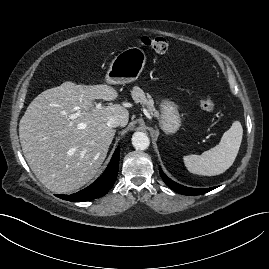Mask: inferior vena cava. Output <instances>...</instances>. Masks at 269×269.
Returning a JSON list of instances; mask_svg holds the SVG:
<instances>
[{"label": "inferior vena cava", "mask_w": 269, "mask_h": 269, "mask_svg": "<svg viewBox=\"0 0 269 269\" xmlns=\"http://www.w3.org/2000/svg\"><path fill=\"white\" fill-rule=\"evenodd\" d=\"M120 124H121V121H120V119L117 118V117H112V118H110V119L108 120V122H107V126H108L109 128H115V127H118V126H120Z\"/></svg>", "instance_id": "obj_1"}]
</instances>
